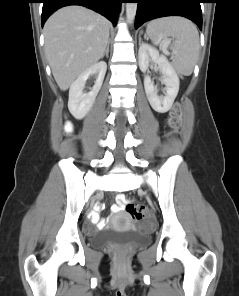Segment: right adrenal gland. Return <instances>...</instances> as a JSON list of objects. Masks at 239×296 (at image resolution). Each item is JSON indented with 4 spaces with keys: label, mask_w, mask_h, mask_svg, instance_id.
<instances>
[{
    "label": "right adrenal gland",
    "mask_w": 239,
    "mask_h": 296,
    "mask_svg": "<svg viewBox=\"0 0 239 296\" xmlns=\"http://www.w3.org/2000/svg\"><path fill=\"white\" fill-rule=\"evenodd\" d=\"M105 55H106V57H108V55H109V43L107 44L105 53L103 54V56L101 58H103Z\"/></svg>",
    "instance_id": "right-adrenal-gland-1"
}]
</instances>
